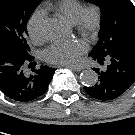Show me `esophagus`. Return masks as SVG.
<instances>
[{
	"mask_svg": "<svg viewBox=\"0 0 135 135\" xmlns=\"http://www.w3.org/2000/svg\"><path fill=\"white\" fill-rule=\"evenodd\" d=\"M64 67H68V68H70V69H72L73 71H76V72H80L84 69L83 67H73V66H67V65H64Z\"/></svg>",
	"mask_w": 135,
	"mask_h": 135,
	"instance_id": "obj_1",
	"label": "esophagus"
}]
</instances>
